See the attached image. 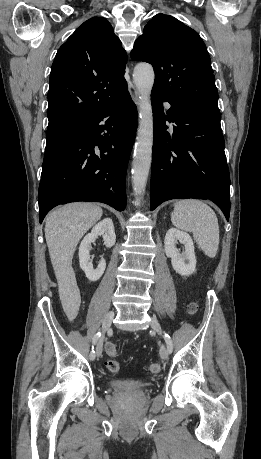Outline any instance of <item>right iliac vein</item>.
Returning <instances> with one entry per match:
<instances>
[{
  "instance_id": "63e3f726",
  "label": "right iliac vein",
  "mask_w": 261,
  "mask_h": 459,
  "mask_svg": "<svg viewBox=\"0 0 261 459\" xmlns=\"http://www.w3.org/2000/svg\"><path fill=\"white\" fill-rule=\"evenodd\" d=\"M114 319V312L113 311H110L106 314L104 320H103V323H102V328L104 331L108 330L112 324V321ZM102 349H103V338H100L98 344H97V347H96V355L98 357L101 356L102 354Z\"/></svg>"
}]
</instances>
